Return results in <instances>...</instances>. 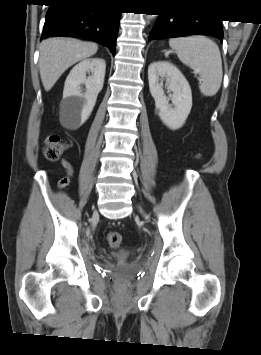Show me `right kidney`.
I'll return each mask as SVG.
<instances>
[{
    "label": "right kidney",
    "mask_w": 261,
    "mask_h": 355,
    "mask_svg": "<svg viewBox=\"0 0 261 355\" xmlns=\"http://www.w3.org/2000/svg\"><path fill=\"white\" fill-rule=\"evenodd\" d=\"M106 62L102 58L84 59L78 63L66 78L61 116L66 126L80 127L90 116L99 92L103 88ZM86 73H91L88 77ZM85 85V92L81 85Z\"/></svg>",
    "instance_id": "1"
}]
</instances>
